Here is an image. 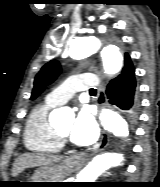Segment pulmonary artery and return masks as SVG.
I'll use <instances>...</instances> for the list:
<instances>
[{"mask_svg": "<svg viewBox=\"0 0 160 187\" xmlns=\"http://www.w3.org/2000/svg\"><path fill=\"white\" fill-rule=\"evenodd\" d=\"M99 84L94 75L75 74L64 81L46 96V102L53 105H62L69 101L76 93L88 91Z\"/></svg>", "mask_w": 160, "mask_h": 187, "instance_id": "e3ab8cb5", "label": "pulmonary artery"}]
</instances>
